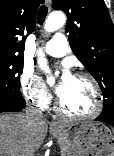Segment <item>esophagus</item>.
I'll list each match as a JSON object with an SVG mask.
<instances>
[{
    "label": "esophagus",
    "mask_w": 114,
    "mask_h": 156,
    "mask_svg": "<svg viewBox=\"0 0 114 156\" xmlns=\"http://www.w3.org/2000/svg\"><path fill=\"white\" fill-rule=\"evenodd\" d=\"M46 5H47V7L49 9H51V7H52V1L51 0H46ZM50 125L52 127H54V128H59L60 127L59 123L56 122V121H51Z\"/></svg>",
    "instance_id": "1"
}]
</instances>
